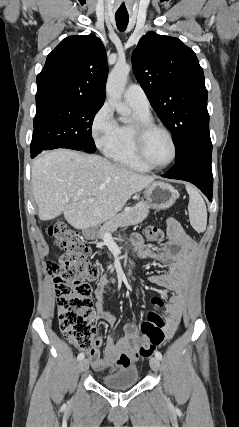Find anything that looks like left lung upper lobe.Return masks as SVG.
Segmentation results:
<instances>
[{"mask_svg":"<svg viewBox=\"0 0 239 427\" xmlns=\"http://www.w3.org/2000/svg\"><path fill=\"white\" fill-rule=\"evenodd\" d=\"M134 74L173 135L176 159L210 144L207 90L195 53L179 39L148 32L132 54Z\"/></svg>","mask_w":239,"mask_h":427,"instance_id":"obj_1","label":"left lung upper lobe"}]
</instances>
